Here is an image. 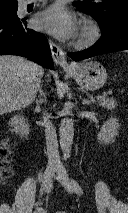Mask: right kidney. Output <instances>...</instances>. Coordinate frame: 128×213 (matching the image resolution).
<instances>
[{
    "instance_id": "obj_1",
    "label": "right kidney",
    "mask_w": 128,
    "mask_h": 213,
    "mask_svg": "<svg viewBox=\"0 0 128 213\" xmlns=\"http://www.w3.org/2000/svg\"><path fill=\"white\" fill-rule=\"evenodd\" d=\"M12 127L11 131L19 134L20 137H27L29 134V125L27 120L22 115H15L11 118L9 122Z\"/></svg>"
}]
</instances>
